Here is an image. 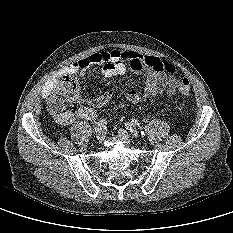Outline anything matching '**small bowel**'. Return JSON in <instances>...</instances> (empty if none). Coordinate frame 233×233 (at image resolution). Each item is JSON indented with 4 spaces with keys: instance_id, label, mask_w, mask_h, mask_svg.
I'll return each mask as SVG.
<instances>
[{
    "instance_id": "1",
    "label": "small bowel",
    "mask_w": 233,
    "mask_h": 233,
    "mask_svg": "<svg viewBox=\"0 0 233 233\" xmlns=\"http://www.w3.org/2000/svg\"><path fill=\"white\" fill-rule=\"evenodd\" d=\"M92 65L102 66V75L105 77L123 75L127 69H131L135 74L143 75L142 90L135 89L133 81L126 85L128 99L132 103L155 96L170 97L177 89L175 72H169L166 69L172 66L168 61L134 51L111 50L92 54L65 66L60 72V79L76 74L85 77L87 69ZM59 80L48 83L44 87L42 95L50 106L54 118L61 125L72 124L76 119L93 120L94 108L105 105L117 90L116 87H111L98 97L85 99V105L80 106L74 112L65 109L58 110L53 107V96ZM80 99L79 96L77 100Z\"/></svg>"
}]
</instances>
